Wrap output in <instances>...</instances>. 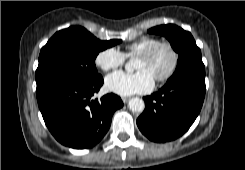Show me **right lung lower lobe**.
Wrapping results in <instances>:
<instances>
[{"mask_svg":"<svg viewBox=\"0 0 245 170\" xmlns=\"http://www.w3.org/2000/svg\"><path fill=\"white\" fill-rule=\"evenodd\" d=\"M103 78L55 86L37 95L46 126L61 144L87 149L96 145L108 131L114 111L123 106L120 97L111 93L100 101L92 96Z\"/></svg>","mask_w":245,"mask_h":170,"instance_id":"1","label":"right lung lower lobe"}]
</instances>
